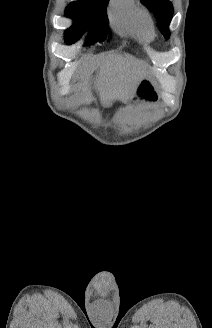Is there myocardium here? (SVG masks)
<instances>
[{
	"label": "myocardium",
	"mask_w": 212,
	"mask_h": 328,
	"mask_svg": "<svg viewBox=\"0 0 212 328\" xmlns=\"http://www.w3.org/2000/svg\"><path fill=\"white\" fill-rule=\"evenodd\" d=\"M145 17L150 21L149 14L144 13Z\"/></svg>",
	"instance_id": "myocardium-1"
}]
</instances>
